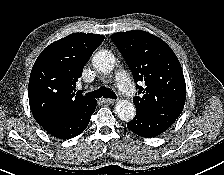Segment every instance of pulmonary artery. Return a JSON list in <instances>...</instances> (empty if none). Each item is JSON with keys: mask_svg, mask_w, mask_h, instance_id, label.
<instances>
[{"mask_svg": "<svg viewBox=\"0 0 224 175\" xmlns=\"http://www.w3.org/2000/svg\"><path fill=\"white\" fill-rule=\"evenodd\" d=\"M116 85L119 88V90L127 95V96H134L136 93L135 88L131 84L127 74L123 71H120L116 74L115 77Z\"/></svg>", "mask_w": 224, "mask_h": 175, "instance_id": "pulmonary-artery-1", "label": "pulmonary artery"}]
</instances>
